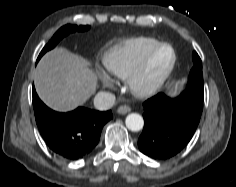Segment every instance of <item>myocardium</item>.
I'll use <instances>...</instances> for the list:
<instances>
[{
  "mask_svg": "<svg viewBox=\"0 0 236 187\" xmlns=\"http://www.w3.org/2000/svg\"><path fill=\"white\" fill-rule=\"evenodd\" d=\"M169 48L171 59L166 67L150 82H145V76L150 62L154 55L162 48ZM177 62V54L172 45L168 43H159L151 48L140 60L135 69L127 78V84L130 92L140 98L152 97L157 94L164 86L172 74Z\"/></svg>",
  "mask_w": 236,
  "mask_h": 187,
  "instance_id": "myocardium-1",
  "label": "myocardium"
}]
</instances>
